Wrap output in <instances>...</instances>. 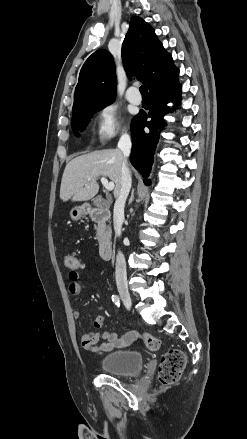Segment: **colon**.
I'll use <instances>...</instances> for the list:
<instances>
[{
  "label": "colon",
  "mask_w": 247,
  "mask_h": 439,
  "mask_svg": "<svg viewBox=\"0 0 247 439\" xmlns=\"http://www.w3.org/2000/svg\"><path fill=\"white\" fill-rule=\"evenodd\" d=\"M66 267L71 270H79L83 267L82 262L74 254H66L64 257ZM146 347L151 351L161 348L162 341L151 334H144L142 337ZM186 357L179 349H171L164 353L158 368L159 382L162 386H169L176 383L185 368Z\"/></svg>",
  "instance_id": "obj_1"
}]
</instances>
